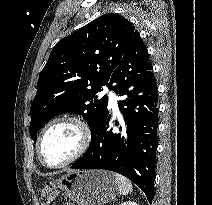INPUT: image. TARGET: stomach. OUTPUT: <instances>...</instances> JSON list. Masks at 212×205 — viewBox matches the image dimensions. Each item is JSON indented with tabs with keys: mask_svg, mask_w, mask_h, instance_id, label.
Returning <instances> with one entry per match:
<instances>
[{
	"mask_svg": "<svg viewBox=\"0 0 212 205\" xmlns=\"http://www.w3.org/2000/svg\"><path fill=\"white\" fill-rule=\"evenodd\" d=\"M55 182L78 205H104L119 194L114 174L105 170L72 171Z\"/></svg>",
	"mask_w": 212,
	"mask_h": 205,
	"instance_id": "stomach-1",
	"label": "stomach"
}]
</instances>
